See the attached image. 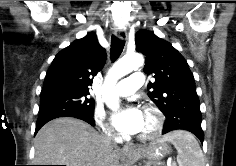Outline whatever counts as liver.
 <instances>
[{
    "label": "liver",
    "mask_w": 236,
    "mask_h": 166,
    "mask_svg": "<svg viewBox=\"0 0 236 166\" xmlns=\"http://www.w3.org/2000/svg\"><path fill=\"white\" fill-rule=\"evenodd\" d=\"M35 165L119 166L120 154L86 122L62 117L50 121L34 140Z\"/></svg>",
    "instance_id": "1"
}]
</instances>
